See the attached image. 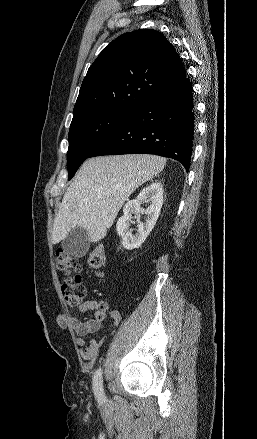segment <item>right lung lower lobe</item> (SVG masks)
<instances>
[{"mask_svg":"<svg viewBox=\"0 0 257 439\" xmlns=\"http://www.w3.org/2000/svg\"><path fill=\"white\" fill-rule=\"evenodd\" d=\"M194 126L192 86L185 77L145 101L110 132L88 158L156 154L178 160L188 171Z\"/></svg>","mask_w":257,"mask_h":439,"instance_id":"98d812e1","label":"right lung lower lobe"}]
</instances>
